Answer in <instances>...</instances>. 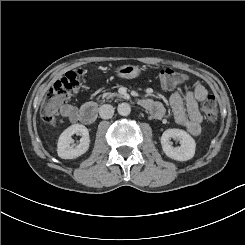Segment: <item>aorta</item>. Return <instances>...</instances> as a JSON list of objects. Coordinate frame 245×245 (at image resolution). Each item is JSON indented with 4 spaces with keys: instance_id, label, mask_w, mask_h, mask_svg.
Wrapping results in <instances>:
<instances>
[{
    "instance_id": "aorta-1",
    "label": "aorta",
    "mask_w": 245,
    "mask_h": 245,
    "mask_svg": "<svg viewBox=\"0 0 245 245\" xmlns=\"http://www.w3.org/2000/svg\"><path fill=\"white\" fill-rule=\"evenodd\" d=\"M117 111L122 116H128L131 112V107L128 103H120L118 105Z\"/></svg>"
}]
</instances>
